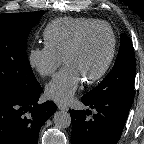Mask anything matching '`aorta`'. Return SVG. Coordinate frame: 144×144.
Listing matches in <instances>:
<instances>
[{"mask_svg":"<svg viewBox=\"0 0 144 144\" xmlns=\"http://www.w3.org/2000/svg\"><path fill=\"white\" fill-rule=\"evenodd\" d=\"M53 121L57 128H67L71 125V116L66 111H57Z\"/></svg>","mask_w":144,"mask_h":144,"instance_id":"1","label":"aorta"}]
</instances>
